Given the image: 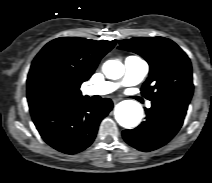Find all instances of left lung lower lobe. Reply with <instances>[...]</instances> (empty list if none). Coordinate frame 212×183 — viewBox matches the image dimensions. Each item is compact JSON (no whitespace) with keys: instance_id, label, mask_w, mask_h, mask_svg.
<instances>
[{"instance_id":"obj_1","label":"left lung lower lobe","mask_w":212,"mask_h":183,"mask_svg":"<svg viewBox=\"0 0 212 183\" xmlns=\"http://www.w3.org/2000/svg\"><path fill=\"white\" fill-rule=\"evenodd\" d=\"M188 105L152 102L146 120L133 130L122 132L124 140L141 151H152L169 142L183 124Z\"/></svg>"}]
</instances>
